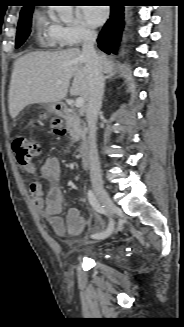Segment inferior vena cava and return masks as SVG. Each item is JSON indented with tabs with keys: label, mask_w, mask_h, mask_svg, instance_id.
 <instances>
[{
	"label": "inferior vena cava",
	"mask_w": 184,
	"mask_h": 327,
	"mask_svg": "<svg viewBox=\"0 0 184 327\" xmlns=\"http://www.w3.org/2000/svg\"><path fill=\"white\" fill-rule=\"evenodd\" d=\"M97 39L96 31L86 29L83 33L82 55L87 62L90 82L89 97L87 104V123L89 127V162H90V178L92 182H101L102 174L97 151L96 131L97 117L101 108L102 98L104 94V78L102 73V65L97 55L94 44Z\"/></svg>",
	"instance_id": "1"
}]
</instances>
